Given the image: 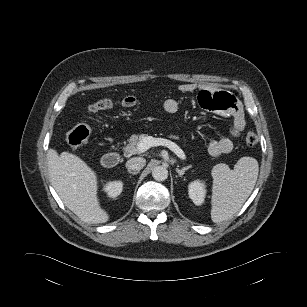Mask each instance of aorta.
Masks as SVG:
<instances>
[{
  "mask_svg": "<svg viewBox=\"0 0 307 307\" xmlns=\"http://www.w3.org/2000/svg\"><path fill=\"white\" fill-rule=\"evenodd\" d=\"M152 176L157 181H164L168 177V170L163 166H156L152 170Z\"/></svg>",
  "mask_w": 307,
  "mask_h": 307,
  "instance_id": "1",
  "label": "aorta"
}]
</instances>
